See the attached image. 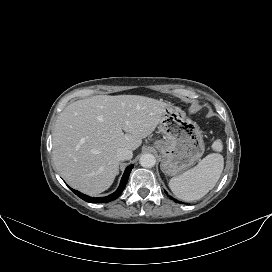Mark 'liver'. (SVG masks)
Returning <instances> with one entry per match:
<instances>
[{"mask_svg":"<svg viewBox=\"0 0 272 272\" xmlns=\"http://www.w3.org/2000/svg\"><path fill=\"white\" fill-rule=\"evenodd\" d=\"M167 108L162 100L139 95H97L71 103L58 116L52 135L61 177L89 195L107 190L117 175V149H137Z\"/></svg>","mask_w":272,"mask_h":272,"instance_id":"6515ba94","label":"liver"}]
</instances>
